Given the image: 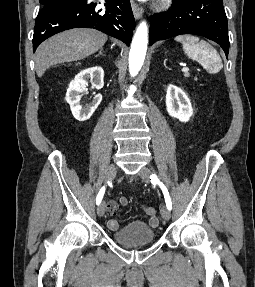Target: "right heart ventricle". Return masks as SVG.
I'll return each mask as SVG.
<instances>
[{
    "label": "right heart ventricle",
    "mask_w": 255,
    "mask_h": 287,
    "mask_svg": "<svg viewBox=\"0 0 255 287\" xmlns=\"http://www.w3.org/2000/svg\"><path fill=\"white\" fill-rule=\"evenodd\" d=\"M117 39V38H116ZM107 48H123V47H107Z\"/></svg>",
    "instance_id": "obj_1"
}]
</instances>
